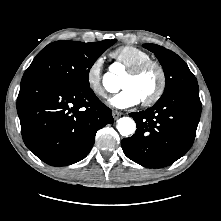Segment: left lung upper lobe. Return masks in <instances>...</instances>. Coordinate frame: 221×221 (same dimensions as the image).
I'll list each match as a JSON object with an SVG mask.
<instances>
[{
    "instance_id": "5c2ea615",
    "label": "left lung upper lobe",
    "mask_w": 221,
    "mask_h": 221,
    "mask_svg": "<svg viewBox=\"0 0 221 221\" xmlns=\"http://www.w3.org/2000/svg\"><path fill=\"white\" fill-rule=\"evenodd\" d=\"M143 47L155 54L165 73V91L159 100L180 91L199 92L195 76L177 54L156 44H144Z\"/></svg>"
}]
</instances>
